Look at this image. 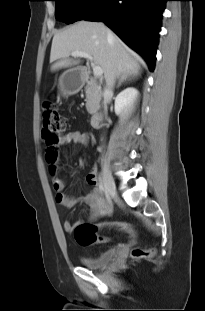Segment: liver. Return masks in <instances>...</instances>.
<instances>
[{
  "mask_svg": "<svg viewBox=\"0 0 205 311\" xmlns=\"http://www.w3.org/2000/svg\"><path fill=\"white\" fill-rule=\"evenodd\" d=\"M111 33V36H108ZM72 52H83L93 57L102 68L104 77L137 76L140 71L137 54L113 34L103 23L79 21L56 33L52 40L51 71L77 65L69 58Z\"/></svg>",
  "mask_w": 205,
  "mask_h": 311,
  "instance_id": "6515ba94",
  "label": "liver"
}]
</instances>
